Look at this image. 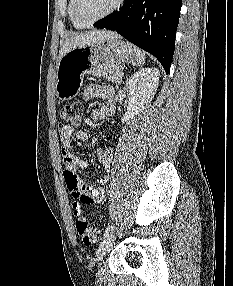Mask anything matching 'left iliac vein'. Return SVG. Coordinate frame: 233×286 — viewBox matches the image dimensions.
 Masks as SVG:
<instances>
[{"instance_id":"left-iliac-vein-1","label":"left iliac vein","mask_w":233,"mask_h":286,"mask_svg":"<svg viewBox=\"0 0 233 286\" xmlns=\"http://www.w3.org/2000/svg\"><path fill=\"white\" fill-rule=\"evenodd\" d=\"M114 233L111 232L109 235H107L103 241L101 242L98 250H97V260L101 261L103 257L107 254L109 251V248L112 246V243L114 241Z\"/></svg>"}]
</instances>
